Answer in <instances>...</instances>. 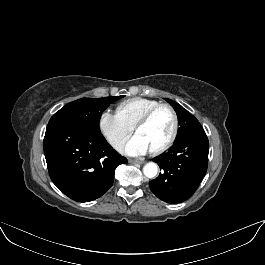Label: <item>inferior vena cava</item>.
<instances>
[{"label":"inferior vena cava","instance_id":"obj_1","mask_svg":"<svg viewBox=\"0 0 265 265\" xmlns=\"http://www.w3.org/2000/svg\"><path fill=\"white\" fill-rule=\"evenodd\" d=\"M112 144L116 149H120L123 146V143L119 140L113 141Z\"/></svg>","mask_w":265,"mask_h":265}]
</instances>
